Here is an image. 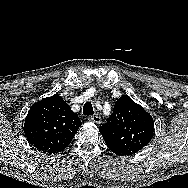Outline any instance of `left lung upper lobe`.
I'll return each instance as SVG.
<instances>
[{
	"instance_id": "1",
	"label": "left lung upper lobe",
	"mask_w": 188,
	"mask_h": 188,
	"mask_svg": "<svg viewBox=\"0 0 188 188\" xmlns=\"http://www.w3.org/2000/svg\"><path fill=\"white\" fill-rule=\"evenodd\" d=\"M99 131L115 154L133 155L151 141L154 122L142 106L123 96L116 101L113 114Z\"/></svg>"
}]
</instances>
